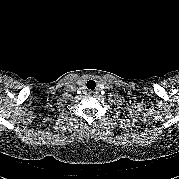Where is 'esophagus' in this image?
I'll use <instances>...</instances> for the list:
<instances>
[{
    "mask_svg": "<svg viewBox=\"0 0 179 179\" xmlns=\"http://www.w3.org/2000/svg\"><path fill=\"white\" fill-rule=\"evenodd\" d=\"M89 95H93V91L92 90H88V92H87Z\"/></svg>",
    "mask_w": 179,
    "mask_h": 179,
    "instance_id": "34e87169",
    "label": "esophagus"
}]
</instances>
